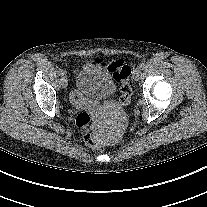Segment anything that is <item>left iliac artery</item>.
Here are the masks:
<instances>
[{"instance_id":"left-iliac-artery-1","label":"left iliac artery","mask_w":207,"mask_h":207,"mask_svg":"<svg viewBox=\"0 0 207 207\" xmlns=\"http://www.w3.org/2000/svg\"><path fill=\"white\" fill-rule=\"evenodd\" d=\"M145 68V64L144 63H141L140 65H139V69H144Z\"/></svg>"}]
</instances>
